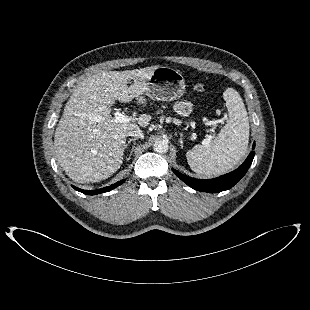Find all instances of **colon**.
<instances>
[{"instance_id": "1", "label": "colon", "mask_w": 310, "mask_h": 310, "mask_svg": "<svg viewBox=\"0 0 310 310\" xmlns=\"http://www.w3.org/2000/svg\"><path fill=\"white\" fill-rule=\"evenodd\" d=\"M195 90H196L197 92H202V91L204 90V88H203L202 85H197V86L195 87Z\"/></svg>"}]
</instances>
